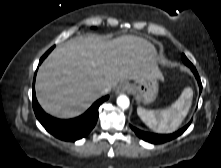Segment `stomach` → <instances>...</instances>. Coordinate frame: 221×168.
Returning a JSON list of instances; mask_svg holds the SVG:
<instances>
[{
  "label": "stomach",
  "mask_w": 221,
  "mask_h": 168,
  "mask_svg": "<svg viewBox=\"0 0 221 168\" xmlns=\"http://www.w3.org/2000/svg\"><path fill=\"white\" fill-rule=\"evenodd\" d=\"M161 79V73L155 74L143 82L133 86V93L136 98L144 103L154 101L158 94V82Z\"/></svg>",
  "instance_id": "0dacf381"
}]
</instances>
